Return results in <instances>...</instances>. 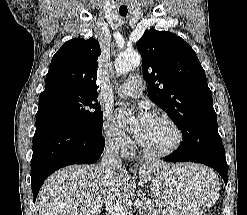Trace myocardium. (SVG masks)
I'll use <instances>...</instances> for the list:
<instances>
[{"label":"myocardium","mask_w":247,"mask_h":215,"mask_svg":"<svg viewBox=\"0 0 247 215\" xmlns=\"http://www.w3.org/2000/svg\"><path fill=\"white\" fill-rule=\"evenodd\" d=\"M155 119L166 123L174 132L175 138L173 143L168 148L160 151H151L145 148L144 146H142L140 142L137 140L136 146L138 150L143 156L149 159H161L168 157L173 153H175L180 148L183 142V132L180 129L179 125L170 116L165 114H158L155 116Z\"/></svg>","instance_id":"myocardium-1"}]
</instances>
